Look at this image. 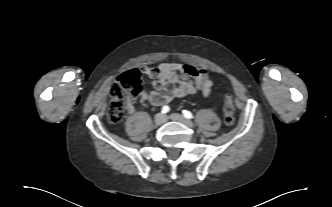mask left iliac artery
Listing matches in <instances>:
<instances>
[{
  "mask_svg": "<svg viewBox=\"0 0 332 207\" xmlns=\"http://www.w3.org/2000/svg\"><path fill=\"white\" fill-rule=\"evenodd\" d=\"M182 113H183V116L187 119L193 118V114L190 111L183 110Z\"/></svg>",
  "mask_w": 332,
  "mask_h": 207,
  "instance_id": "left-iliac-artery-1",
  "label": "left iliac artery"
}]
</instances>
